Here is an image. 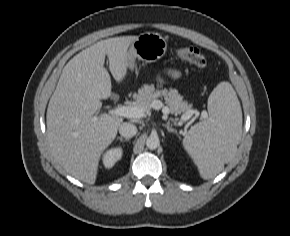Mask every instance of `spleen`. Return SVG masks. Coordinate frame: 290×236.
<instances>
[{"instance_id": "spleen-1", "label": "spleen", "mask_w": 290, "mask_h": 236, "mask_svg": "<svg viewBox=\"0 0 290 236\" xmlns=\"http://www.w3.org/2000/svg\"><path fill=\"white\" fill-rule=\"evenodd\" d=\"M209 117L190 128L183 146L203 179L214 178L233 159L242 135V110L229 82L219 83L208 98Z\"/></svg>"}]
</instances>
